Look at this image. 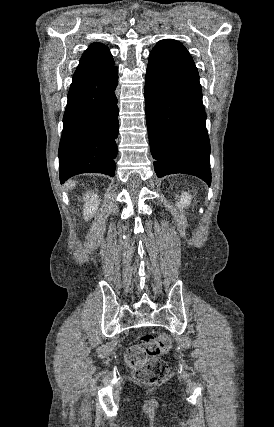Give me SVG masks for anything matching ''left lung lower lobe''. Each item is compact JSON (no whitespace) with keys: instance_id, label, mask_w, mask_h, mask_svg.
I'll list each match as a JSON object with an SVG mask.
<instances>
[{"instance_id":"left-lung-lower-lobe-1","label":"left lung lower lobe","mask_w":274,"mask_h":427,"mask_svg":"<svg viewBox=\"0 0 274 427\" xmlns=\"http://www.w3.org/2000/svg\"><path fill=\"white\" fill-rule=\"evenodd\" d=\"M145 110L157 176L190 174L210 185V141L199 75L176 40H161L150 53Z\"/></svg>"}]
</instances>
